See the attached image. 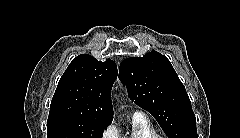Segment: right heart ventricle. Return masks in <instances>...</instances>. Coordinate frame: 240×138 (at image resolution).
<instances>
[{
    "instance_id": "obj_1",
    "label": "right heart ventricle",
    "mask_w": 240,
    "mask_h": 138,
    "mask_svg": "<svg viewBox=\"0 0 240 138\" xmlns=\"http://www.w3.org/2000/svg\"><path fill=\"white\" fill-rule=\"evenodd\" d=\"M119 138H157V133L150 121L143 115H134L131 130Z\"/></svg>"
}]
</instances>
